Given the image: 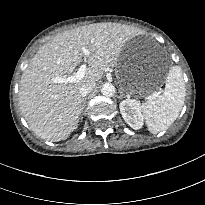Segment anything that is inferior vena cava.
<instances>
[{"mask_svg":"<svg viewBox=\"0 0 205 205\" xmlns=\"http://www.w3.org/2000/svg\"><path fill=\"white\" fill-rule=\"evenodd\" d=\"M95 88V83H86L80 88V94L82 97H86L89 93H91Z\"/></svg>","mask_w":205,"mask_h":205,"instance_id":"inferior-vena-cava-1","label":"inferior vena cava"}]
</instances>
